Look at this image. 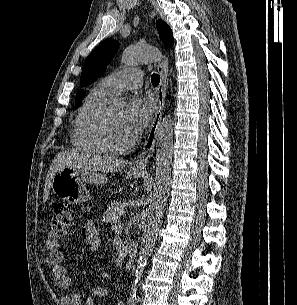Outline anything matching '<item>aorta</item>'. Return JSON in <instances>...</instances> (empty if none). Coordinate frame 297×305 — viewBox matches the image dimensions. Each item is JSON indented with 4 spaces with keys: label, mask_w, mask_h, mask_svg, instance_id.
I'll return each mask as SVG.
<instances>
[{
    "label": "aorta",
    "mask_w": 297,
    "mask_h": 305,
    "mask_svg": "<svg viewBox=\"0 0 297 305\" xmlns=\"http://www.w3.org/2000/svg\"><path fill=\"white\" fill-rule=\"evenodd\" d=\"M160 58L161 53L149 45L130 46L122 54V62L128 66L149 64L157 62ZM117 106H123V102H117ZM156 140L155 182L150 195L144 234L131 288V294L133 296L136 295L137 284L142 277L148 258L155 246L159 225L169 195L173 154V124L170 114L165 116L159 124Z\"/></svg>",
    "instance_id": "aorta-1"
}]
</instances>
